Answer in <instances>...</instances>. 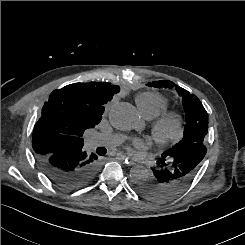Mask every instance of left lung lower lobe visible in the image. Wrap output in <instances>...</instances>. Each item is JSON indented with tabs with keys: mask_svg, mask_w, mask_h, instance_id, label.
Instances as JSON below:
<instances>
[{
	"mask_svg": "<svg viewBox=\"0 0 245 245\" xmlns=\"http://www.w3.org/2000/svg\"><path fill=\"white\" fill-rule=\"evenodd\" d=\"M206 152L204 144H192L162 157L152 169L154 176L139 183L138 191L153 201L171 199L192 181Z\"/></svg>",
	"mask_w": 245,
	"mask_h": 245,
	"instance_id": "obj_1",
	"label": "left lung lower lobe"
}]
</instances>
